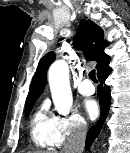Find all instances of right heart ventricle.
Returning a JSON list of instances; mask_svg holds the SVG:
<instances>
[{
    "label": "right heart ventricle",
    "instance_id": "right-heart-ventricle-1",
    "mask_svg": "<svg viewBox=\"0 0 130 153\" xmlns=\"http://www.w3.org/2000/svg\"><path fill=\"white\" fill-rule=\"evenodd\" d=\"M58 117L49 109V103L43 101L30 120V135L34 145L50 150L57 147Z\"/></svg>",
    "mask_w": 130,
    "mask_h": 153
}]
</instances>
